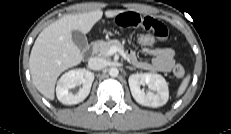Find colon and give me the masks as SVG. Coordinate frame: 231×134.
I'll use <instances>...</instances> for the list:
<instances>
[{
    "mask_svg": "<svg viewBox=\"0 0 231 134\" xmlns=\"http://www.w3.org/2000/svg\"><path fill=\"white\" fill-rule=\"evenodd\" d=\"M133 40L143 48L154 46L158 39L150 33H141L133 36ZM173 73L178 78H183L185 70L181 64H175L173 66Z\"/></svg>",
    "mask_w": 231,
    "mask_h": 134,
    "instance_id": "obj_1",
    "label": "colon"
}]
</instances>
